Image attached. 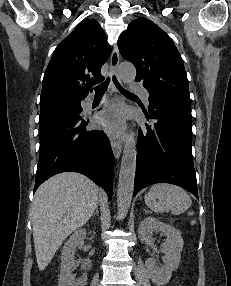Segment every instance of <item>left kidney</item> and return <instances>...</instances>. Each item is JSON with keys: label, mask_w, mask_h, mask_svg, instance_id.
<instances>
[{"label": "left kidney", "mask_w": 231, "mask_h": 286, "mask_svg": "<svg viewBox=\"0 0 231 286\" xmlns=\"http://www.w3.org/2000/svg\"><path fill=\"white\" fill-rule=\"evenodd\" d=\"M153 232H161L167 237L162 246V252L165 254L164 265L159 267L153 258L147 259L145 265L151 281L157 286H162L169 282L172 272L178 268L184 241L181 233L173 226L163 223L155 217L143 219L138 229L141 241L151 244Z\"/></svg>", "instance_id": "obj_1"}]
</instances>
